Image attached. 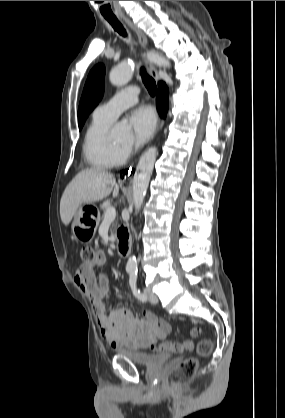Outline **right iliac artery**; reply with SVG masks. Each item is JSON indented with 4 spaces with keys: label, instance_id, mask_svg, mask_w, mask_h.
I'll return each mask as SVG.
<instances>
[{
    "label": "right iliac artery",
    "instance_id": "82829eb1",
    "mask_svg": "<svg viewBox=\"0 0 285 418\" xmlns=\"http://www.w3.org/2000/svg\"><path fill=\"white\" fill-rule=\"evenodd\" d=\"M132 271H135V270H133V269H128V272L130 273V272H132Z\"/></svg>",
    "mask_w": 285,
    "mask_h": 418
}]
</instances>
